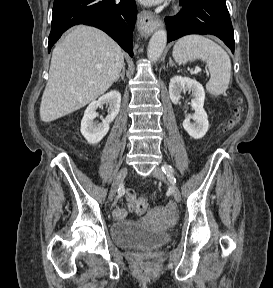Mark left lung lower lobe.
Masks as SVG:
<instances>
[{
	"label": "left lung lower lobe",
	"instance_id": "obj_1",
	"mask_svg": "<svg viewBox=\"0 0 273 288\" xmlns=\"http://www.w3.org/2000/svg\"><path fill=\"white\" fill-rule=\"evenodd\" d=\"M182 9L166 17L167 42L187 34H212L219 37L234 53L233 27L226 0H180Z\"/></svg>",
	"mask_w": 273,
	"mask_h": 288
}]
</instances>
